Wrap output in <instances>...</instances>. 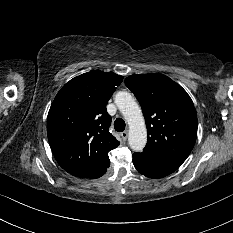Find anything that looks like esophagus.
<instances>
[{
  "mask_svg": "<svg viewBox=\"0 0 233 233\" xmlns=\"http://www.w3.org/2000/svg\"><path fill=\"white\" fill-rule=\"evenodd\" d=\"M121 137H122L123 141H126L127 138H128V131L125 130L124 132H122V133H121Z\"/></svg>",
  "mask_w": 233,
  "mask_h": 233,
  "instance_id": "34e87169",
  "label": "esophagus"
}]
</instances>
